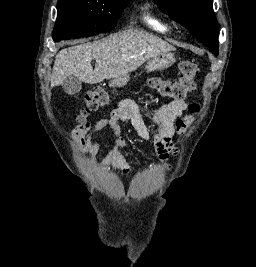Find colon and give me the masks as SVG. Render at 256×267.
I'll use <instances>...</instances> for the list:
<instances>
[{
  "label": "colon",
  "instance_id": "5ec220e1",
  "mask_svg": "<svg viewBox=\"0 0 256 267\" xmlns=\"http://www.w3.org/2000/svg\"><path fill=\"white\" fill-rule=\"evenodd\" d=\"M199 73V67L193 60H183L179 63V78L176 82L161 77H152L149 84L163 97H169L176 101H183L196 87L195 77ZM113 92L105 86H97L89 91L84 99V104L75 116L77 124L81 125L86 117L95 111L106 107L113 99ZM201 112V105L193 102L188 106V113L176 120L175 126L179 134H184L191 122Z\"/></svg>",
  "mask_w": 256,
  "mask_h": 267
}]
</instances>
